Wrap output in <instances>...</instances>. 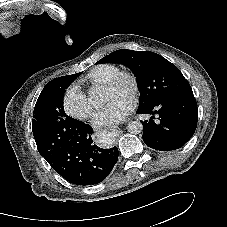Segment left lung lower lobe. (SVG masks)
<instances>
[{
	"label": "left lung lower lobe",
	"mask_w": 227,
	"mask_h": 227,
	"mask_svg": "<svg viewBox=\"0 0 227 227\" xmlns=\"http://www.w3.org/2000/svg\"><path fill=\"white\" fill-rule=\"evenodd\" d=\"M137 114L152 115L149 121H142L145 144L156 150L169 151L182 147L193 136L198 108L194 95L185 94L139 107ZM156 114L159 123L153 121Z\"/></svg>",
	"instance_id": "obj_1"
}]
</instances>
